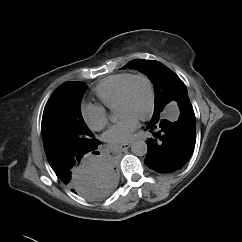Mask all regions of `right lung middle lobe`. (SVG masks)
<instances>
[{
    "instance_id": "obj_1",
    "label": "right lung middle lobe",
    "mask_w": 242,
    "mask_h": 242,
    "mask_svg": "<svg viewBox=\"0 0 242 242\" xmlns=\"http://www.w3.org/2000/svg\"><path fill=\"white\" fill-rule=\"evenodd\" d=\"M87 87L77 81L58 87L44 108L41 131L49 164L59 158L89 152L100 144L93 139L81 114V100Z\"/></svg>"
}]
</instances>
